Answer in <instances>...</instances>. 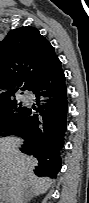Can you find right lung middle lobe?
Listing matches in <instances>:
<instances>
[{
    "label": "right lung middle lobe",
    "mask_w": 89,
    "mask_h": 203,
    "mask_svg": "<svg viewBox=\"0 0 89 203\" xmlns=\"http://www.w3.org/2000/svg\"><path fill=\"white\" fill-rule=\"evenodd\" d=\"M16 100L0 106V132L12 134L18 122L27 111L26 107L17 106Z\"/></svg>",
    "instance_id": "dd1d6c3e"
}]
</instances>
